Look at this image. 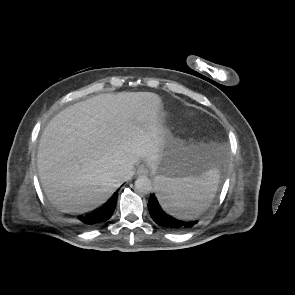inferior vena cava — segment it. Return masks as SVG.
Masks as SVG:
<instances>
[{
	"label": "inferior vena cava",
	"mask_w": 295,
	"mask_h": 295,
	"mask_svg": "<svg viewBox=\"0 0 295 295\" xmlns=\"http://www.w3.org/2000/svg\"><path fill=\"white\" fill-rule=\"evenodd\" d=\"M133 176V171H130L127 175L124 176V181L130 179Z\"/></svg>",
	"instance_id": "602c4592"
}]
</instances>
